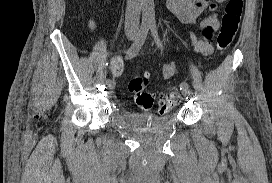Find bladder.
<instances>
[{
    "label": "bladder",
    "mask_w": 272,
    "mask_h": 183,
    "mask_svg": "<svg viewBox=\"0 0 272 183\" xmlns=\"http://www.w3.org/2000/svg\"><path fill=\"white\" fill-rule=\"evenodd\" d=\"M124 121L128 128L145 133H158L170 125V116L125 111Z\"/></svg>",
    "instance_id": "bladder-1"
}]
</instances>
